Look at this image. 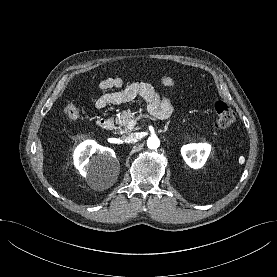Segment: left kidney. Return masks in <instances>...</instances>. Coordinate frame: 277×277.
Listing matches in <instances>:
<instances>
[{"label": "left kidney", "mask_w": 277, "mask_h": 277, "mask_svg": "<svg viewBox=\"0 0 277 277\" xmlns=\"http://www.w3.org/2000/svg\"><path fill=\"white\" fill-rule=\"evenodd\" d=\"M211 151V146L206 143L188 144L181 148V154L185 162L191 168H201Z\"/></svg>", "instance_id": "5707ae66"}]
</instances>
